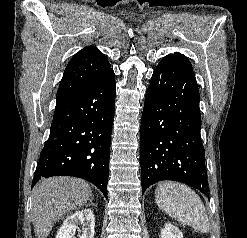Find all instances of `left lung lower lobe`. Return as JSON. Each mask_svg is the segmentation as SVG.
<instances>
[{
    "instance_id": "obj_1",
    "label": "left lung lower lobe",
    "mask_w": 247,
    "mask_h": 238,
    "mask_svg": "<svg viewBox=\"0 0 247 238\" xmlns=\"http://www.w3.org/2000/svg\"><path fill=\"white\" fill-rule=\"evenodd\" d=\"M200 127L199 89L192 68L163 58L153 72L141 120L143 191L173 180L209 196Z\"/></svg>"
}]
</instances>
